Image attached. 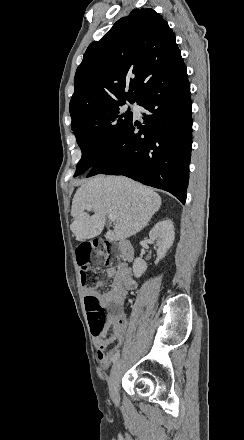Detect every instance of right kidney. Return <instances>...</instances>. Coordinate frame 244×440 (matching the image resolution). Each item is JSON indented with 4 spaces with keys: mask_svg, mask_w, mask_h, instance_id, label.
<instances>
[{
    "mask_svg": "<svg viewBox=\"0 0 244 440\" xmlns=\"http://www.w3.org/2000/svg\"><path fill=\"white\" fill-rule=\"evenodd\" d=\"M150 240H156L158 246L157 250V258L155 260V264H158L162 258H165L167 254V250L171 248L174 238V226L171 220H163V222H158L155 224L154 228H152L151 232H149ZM145 270H147V264L142 260V258H136L133 264V274L135 278H140L142 274H144Z\"/></svg>",
    "mask_w": 244,
    "mask_h": 440,
    "instance_id": "ca27d5eb",
    "label": "right kidney"
}]
</instances>
